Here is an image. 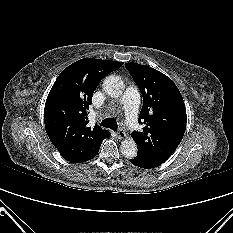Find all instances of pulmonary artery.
I'll list each match as a JSON object with an SVG mask.
<instances>
[{
  "mask_svg": "<svg viewBox=\"0 0 233 233\" xmlns=\"http://www.w3.org/2000/svg\"><path fill=\"white\" fill-rule=\"evenodd\" d=\"M120 103L123 105V108L126 113V120L129 128L131 130L138 129L137 122V113L139 106V94L136 88L129 87L126 89L124 94L120 99Z\"/></svg>",
  "mask_w": 233,
  "mask_h": 233,
  "instance_id": "e3ab8cb5",
  "label": "pulmonary artery"
}]
</instances>
